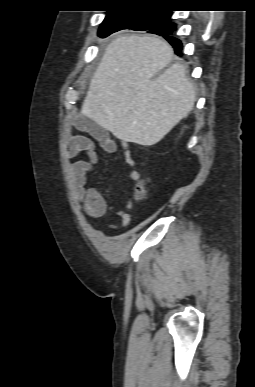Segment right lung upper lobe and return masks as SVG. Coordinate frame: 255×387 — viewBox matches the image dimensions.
Here are the masks:
<instances>
[{
  "label": "right lung upper lobe",
  "instance_id": "1",
  "mask_svg": "<svg viewBox=\"0 0 255 387\" xmlns=\"http://www.w3.org/2000/svg\"><path fill=\"white\" fill-rule=\"evenodd\" d=\"M124 3L123 6H128V7H120L118 9H114L109 11V14H119V13H126V12H134V11H141V12H155L159 11L160 9H141L140 7H147L150 6V4H154L153 1L156 0H120ZM135 2V3H132ZM131 4H143L141 6L138 5H131Z\"/></svg>",
  "mask_w": 255,
  "mask_h": 387
}]
</instances>
